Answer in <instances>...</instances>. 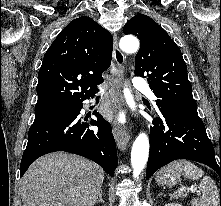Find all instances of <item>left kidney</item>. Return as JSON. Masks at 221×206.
<instances>
[{"instance_id": "obj_1", "label": "left kidney", "mask_w": 221, "mask_h": 206, "mask_svg": "<svg viewBox=\"0 0 221 206\" xmlns=\"http://www.w3.org/2000/svg\"><path fill=\"white\" fill-rule=\"evenodd\" d=\"M165 206H182V205L179 203H168Z\"/></svg>"}]
</instances>
